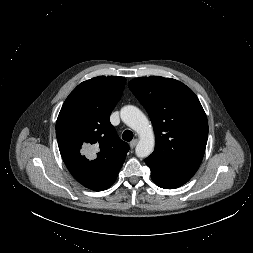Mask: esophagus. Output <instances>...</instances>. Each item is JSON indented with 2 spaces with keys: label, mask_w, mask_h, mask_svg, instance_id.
<instances>
[{
  "label": "esophagus",
  "mask_w": 253,
  "mask_h": 253,
  "mask_svg": "<svg viewBox=\"0 0 253 253\" xmlns=\"http://www.w3.org/2000/svg\"><path fill=\"white\" fill-rule=\"evenodd\" d=\"M138 143V139H134L130 142V148H135L136 144Z\"/></svg>",
  "instance_id": "1"
}]
</instances>
